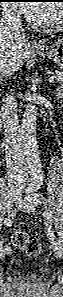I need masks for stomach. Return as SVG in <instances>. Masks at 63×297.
<instances>
[{
  "instance_id": "obj_1",
  "label": "stomach",
  "mask_w": 63,
  "mask_h": 297,
  "mask_svg": "<svg viewBox=\"0 0 63 297\" xmlns=\"http://www.w3.org/2000/svg\"><path fill=\"white\" fill-rule=\"evenodd\" d=\"M36 54L43 58L54 61L60 67H63V40H59L51 46L42 49H35Z\"/></svg>"
}]
</instances>
